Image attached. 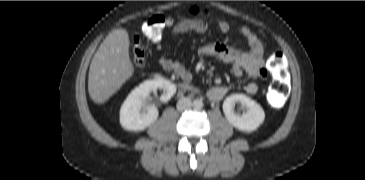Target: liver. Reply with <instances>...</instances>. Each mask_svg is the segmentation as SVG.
Here are the masks:
<instances>
[{
  "mask_svg": "<svg viewBox=\"0 0 365 180\" xmlns=\"http://www.w3.org/2000/svg\"><path fill=\"white\" fill-rule=\"evenodd\" d=\"M129 45L128 32L116 29L108 34L93 56L88 92L95 103H105L133 75Z\"/></svg>",
  "mask_w": 365,
  "mask_h": 180,
  "instance_id": "liver-1",
  "label": "liver"
}]
</instances>
